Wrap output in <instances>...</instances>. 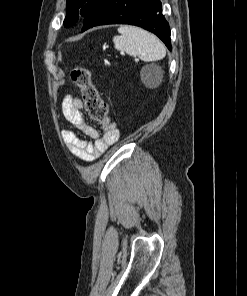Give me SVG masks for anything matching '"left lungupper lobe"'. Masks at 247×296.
<instances>
[{"instance_id":"1","label":"left lung upper lobe","mask_w":247,"mask_h":296,"mask_svg":"<svg viewBox=\"0 0 247 296\" xmlns=\"http://www.w3.org/2000/svg\"><path fill=\"white\" fill-rule=\"evenodd\" d=\"M100 0H67V13L64 26L74 25L79 16L85 17Z\"/></svg>"}]
</instances>
